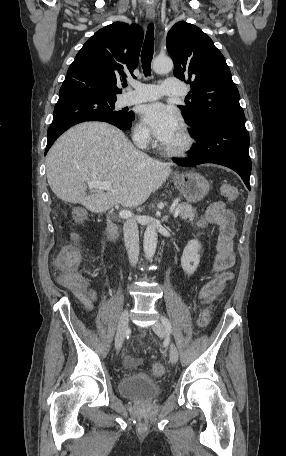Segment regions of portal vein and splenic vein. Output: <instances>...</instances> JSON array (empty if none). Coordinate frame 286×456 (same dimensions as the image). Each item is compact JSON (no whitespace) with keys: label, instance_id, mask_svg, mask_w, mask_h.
Here are the masks:
<instances>
[{"label":"portal vein and splenic vein","instance_id":"1","mask_svg":"<svg viewBox=\"0 0 286 456\" xmlns=\"http://www.w3.org/2000/svg\"><path fill=\"white\" fill-rule=\"evenodd\" d=\"M88 187L91 189H96L100 191H110L112 190V185L108 181H96V180H90L87 182ZM180 213V209H175L173 216L176 218ZM132 213L131 211L128 210H121L119 211V216L122 218H128L131 217Z\"/></svg>","mask_w":286,"mask_h":456}]
</instances>
